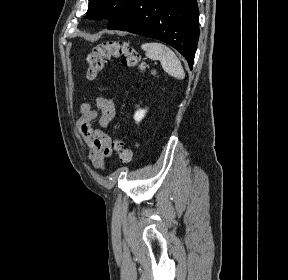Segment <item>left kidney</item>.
I'll return each instance as SVG.
<instances>
[{"instance_id": "left-kidney-1", "label": "left kidney", "mask_w": 288, "mask_h": 280, "mask_svg": "<svg viewBox=\"0 0 288 280\" xmlns=\"http://www.w3.org/2000/svg\"><path fill=\"white\" fill-rule=\"evenodd\" d=\"M146 110L145 109H139L134 114V119L137 123H139L145 116Z\"/></svg>"}]
</instances>
